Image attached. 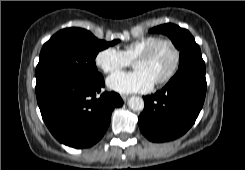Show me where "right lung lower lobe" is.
Returning <instances> with one entry per match:
<instances>
[{"label":"right lung lower lobe","instance_id":"98d812e1","mask_svg":"<svg viewBox=\"0 0 245 170\" xmlns=\"http://www.w3.org/2000/svg\"><path fill=\"white\" fill-rule=\"evenodd\" d=\"M104 78L68 79L36 92L42 118L52 135L74 148L95 145L105 134L116 107L123 105L120 95L104 92Z\"/></svg>","mask_w":245,"mask_h":170}]
</instances>
